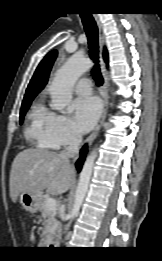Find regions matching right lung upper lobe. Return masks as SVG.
<instances>
[{"mask_svg": "<svg viewBox=\"0 0 162 261\" xmlns=\"http://www.w3.org/2000/svg\"><path fill=\"white\" fill-rule=\"evenodd\" d=\"M56 56L57 51L54 50L48 53L41 61L28 85L23 102L33 100L34 97L44 88L48 81V76ZM103 56L104 60L108 62V53L106 49H104Z\"/></svg>", "mask_w": 162, "mask_h": 261, "instance_id": "1", "label": "right lung upper lobe"}]
</instances>
